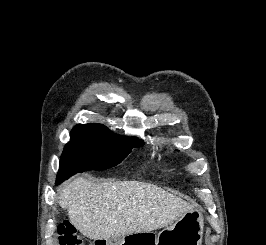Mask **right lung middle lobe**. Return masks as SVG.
<instances>
[{"label":"right lung middle lobe","instance_id":"right-lung-middle-lobe-1","mask_svg":"<svg viewBox=\"0 0 266 245\" xmlns=\"http://www.w3.org/2000/svg\"><path fill=\"white\" fill-rule=\"evenodd\" d=\"M143 145L142 140L120 137L102 124H79L72 130L71 140L64 148L57 179L62 182L77 172L116 166L132 148Z\"/></svg>","mask_w":266,"mask_h":245}]
</instances>
